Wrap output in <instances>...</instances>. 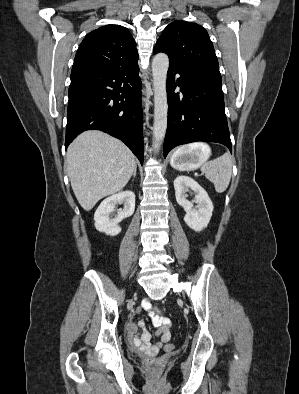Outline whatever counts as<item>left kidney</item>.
<instances>
[{"instance_id":"1","label":"left kidney","mask_w":299,"mask_h":394,"mask_svg":"<svg viewBox=\"0 0 299 394\" xmlns=\"http://www.w3.org/2000/svg\"><path fill=\"white\" fill-rule=\"evenodd\" d=\"M174 189L177 203L186 212L185 223L196 232L205 229L213 211V204L207 192L195 180L183 175L174 180ZM189 189L195 193V199L192 202L186 199V192ZM193 202L197 204L195 208H193Z\"/></svg>"}]
</instances>
